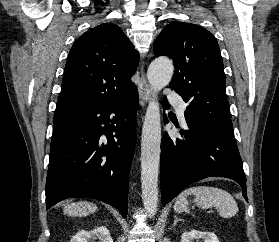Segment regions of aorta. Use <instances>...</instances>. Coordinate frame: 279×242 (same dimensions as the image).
Returning <instances> with one entry per match:
<instances>
[{"label":"aorta","mask_w":279,"mask_h":242,"mask_svg":"<svg viewBox=\"0 0 279 242\" xmlns=\"http://www.w3.org/2000/svg\"><path fill=\"white\" fill-rule=\"evenodd\" d=\"M174 73L173 63L167 57L154 59L147 71L153 98L146 110L141 140V187L145 210L150 216L158 208V175L161 145V119L157 93L167 86Z\"/></svg>","instance_id":"1"}]
</instances>
